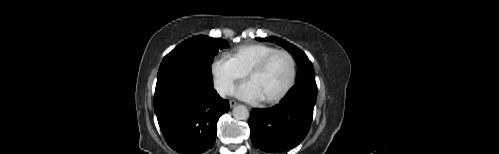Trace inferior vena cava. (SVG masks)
Listing matches in <instances>:
<instances>
[{"mask_svg": "<svg viewBox=\"0 0 499 154\" xmlns=\"http://www.w3.org/2000/svg\"><path fill=\"white\" fill-rule=\"evenodd\" d=\"M218 91H219L220 95L224 96L225 93H226V91H227V88L226 87H222V88L218 89Z\"/></svg>", "mask_w": 499, "mask_h": 154, "instance_id": "inferior-vena-cava-1", "label": "inferior vena cava"}]
</instances>
